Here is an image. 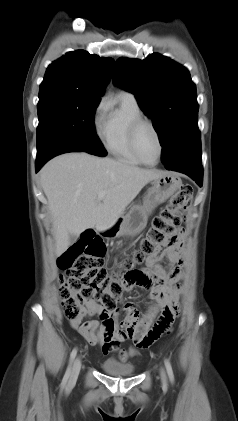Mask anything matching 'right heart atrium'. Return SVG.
<instances>
[{"instance_id": "d8ad5b80", "label": "right heart atrium", "mask_w": 238, "mask_h": 421, "mask_svg": "<svg viewBox=\"0 0 238 421\" xmlns=\"http://www.w3.org/2000/svg\"><path fill=\"white\" fill-rule=\"evenodd\" d=\"M106 110H107V100L106 98H102L96 105L93 112V124L98 131H101Z\"/></svg>"}]
</instances>
